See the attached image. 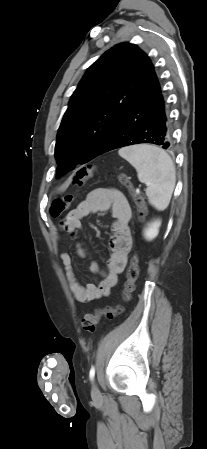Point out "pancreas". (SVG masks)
I'll return each instance as SVG.
<instances>
[{
  "instance_id": "1",
  "label": "pancreas",
  "mask_w": 207,
  "mask_h": 449,
  "mask_svg": "<svg viewBox=\"0 0 207 449\" xmlns=\"http://www.w3.org/2000/svg\"><path fill=\"white\" fill-rule=\"evenodd\" d=\"M132 196H133L134 198L137 197V195H136V193H135L134 191H132Z\"/></svg>"
}]
</instances>
